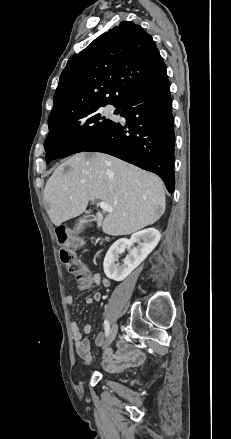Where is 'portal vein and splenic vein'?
Returning a JSON list of instances; mask_svg holds the SVG:
<instances>
[{
    "label": "portal vein and splenic vein",
    "mask_w": 231,
    "mask_h": 439,
    "mask_svg": "<svg viewBox=\"0 0 231 439\" xmlns=\"http://www.w3.org/2000/svg\"><path fill=\"white\" fill-rule=\"evenodd\" d=\"M99 207H100L102 210H104V211H107V212H113V208H112V206H110L109 204H107V203H105V202H103V201H101V202L99 203Z\"/></svg>",
    "instance_id": "1"
}]
</instances>
